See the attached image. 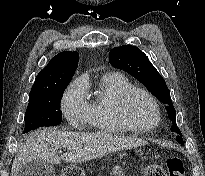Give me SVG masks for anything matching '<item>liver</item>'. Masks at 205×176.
Segmentation results:
<instances>
[{"label": "liver", "instance_id": "1", "mask_svg": "<svg viewBox=\"0 0 205 176\" xmlns=\"http://www.w3.org/2000/svg\"><path fill=\"white\" fill-rule=\"evenodd\" d=\"M143 143L129 137L106 133H76L41 129L32 133L20 147L12 164V176H18L22 165L31 161H44L50 164L86 162L102 157L110 152L139 146ZM59 148L68 152L61 156Z\"/></svg>", "mask_w": 205, "mask_h": 176}]
</instances>
